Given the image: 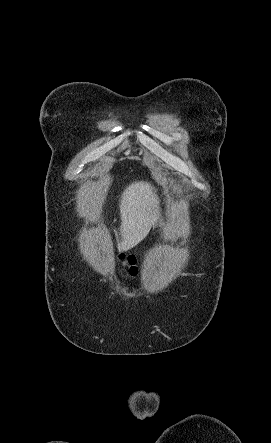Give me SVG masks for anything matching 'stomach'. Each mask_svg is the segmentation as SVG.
<instances>
[{
    "label": "stomach",
    "mask_w": 271,
    "mask_h": 443,
    "mask_svg": "<svg viewBox=\"0 0 271 443\" xmlns=\"http://www.w3.org/2000/svg\"><path fill=\"white\" fill-rule=\"evenodd\" d=\"M163 223V210L162 208H159L158 212H157V225L158 227H160V225H162Z\"/></svg>",
    "instance_id": "stomach-1"
}]
</instances>
